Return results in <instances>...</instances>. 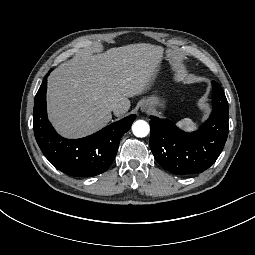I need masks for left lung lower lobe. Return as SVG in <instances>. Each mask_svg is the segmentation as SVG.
<instances>
[{"label":"left lung lower lobe","instance_id":"obj_1","mask_svg":"<svg viewBox=\"0 0 255 255\" xmlns=\"http://www.w3.org/2000/svg\"><path fill=\"white\" fill-rule=\"evenodd\" d=\"M213 86V111L193 133L172 122L150 116V148L160 166L176 175H192L208 169L223 150L229 132L228 102L221 86Z\"/></svg>","mask_w":255,"mask_h":255}]
</instances>
